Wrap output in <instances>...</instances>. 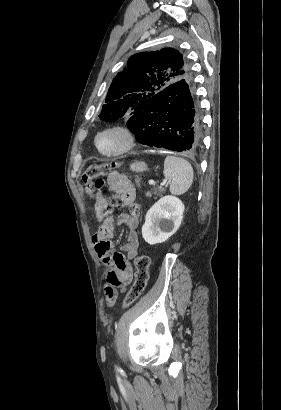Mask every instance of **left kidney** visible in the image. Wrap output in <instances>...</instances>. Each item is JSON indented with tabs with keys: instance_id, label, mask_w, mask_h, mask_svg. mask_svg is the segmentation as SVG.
I'll list each match as a JSON object with an SVG mask.
<instances>
[{
	"instance_id": "5707ae66",
	"label": "left kidney",
	"mask_w": 281,
	"mask_h": 410,
	"mask_svg": "<svg viewBox=\"0 0 281 410\" xmlns=\"http://www.w3.org/2000/svg\"><path fill=\"white\" fill-rule=\"evenodd\" d=\"M184 209L182 201L175 196L160 198L146 214L142 227L144 240L150 245L165 242L180 227Z\"/></svg>"
}]
</instances>
